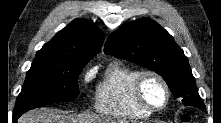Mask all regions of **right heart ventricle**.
I'll return each instance as SVG.
<instances>
[{"mask_svg": "<svg viewBox=\"0 0 221 123\" xmlns=\"http://www.w3.org/2000/svg\"><path fill=\"white\" fill-rule=\"evenodd\" d=\"M138 72L121 62L110 63L95 88V110L117 119H147L151 113L133 95V81Z\"/></svg>", "mask_w": 221, "mask_h": 123, "instance_id": "e07e8e85", "label": "right heart ventricle"}]
</instances>
